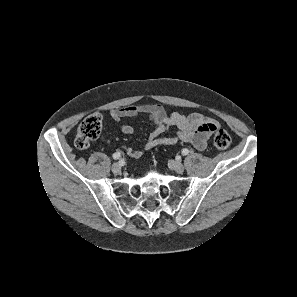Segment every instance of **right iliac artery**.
<instances>
[{"label": "right iliac artery", "mask_w": 297, "mask_h": 297, "mask_svg": "<svg viewBox=\"0 0 297 297\" xmlns=\"http://www.w3.org/2000/svg\"><path fill=\"white\" fill-rule=\"evenodd\" d=\"M112 157H113V159L117 160V159H119L121 157V153L120 152H115Z\"/></svg>", "instance_id": "obj_1"}]
</instances>
